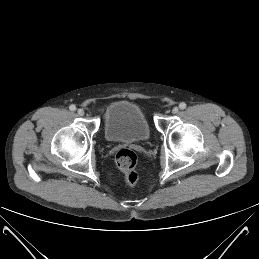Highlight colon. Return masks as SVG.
Wrapping results in <instances>:
<instances>
[{
  "instance_id": "1",
  "label": "colon",
  "mask_w": 259,
  "mask_h": 259,
  "mask_svg": "<svg viewBox=\"0 0 259 259\" xmlns=\"http://www.w3.org/2000/svg\"><path fill=\"white\" fill-rule=\"evenodd\" d=\"M116 164L124 174L126 182L131 186L136 185L138 182L136 153L130 149H121L116 154Z\"/></svg>"
}]
</instances>
